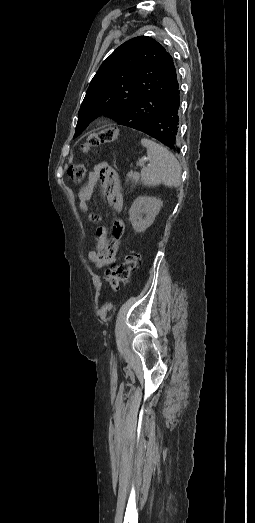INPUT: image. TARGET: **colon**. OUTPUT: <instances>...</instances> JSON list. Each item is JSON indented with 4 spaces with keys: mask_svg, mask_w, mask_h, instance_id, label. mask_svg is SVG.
<instances>
[{
    "mask_svg": "<svg viewBox=\"0 0 255 523\" xmlns=\"http://www.w3.org/2000/svg\"><path fill=\"white\" fill-rule=\"evenodd\" d=\"M118 136V130L114 127H109L99 131L91 132L81 146L83 152H89L91 149L113 142ZM87 172V166L84 163L71 165L68 169V174L75 182H80L84 179ZM138 265V257L134 253L126 254L121 262L109 269L106 272V278L109 286L113 290H117L120 283H125L130 280L131 273Z\"/></svg>",
    "mask_w": 255,
    "mask_h": 523,
    "instance_id": "5ec220e1",
    "label": "colon"
}]
</instances>
